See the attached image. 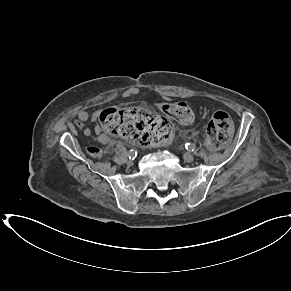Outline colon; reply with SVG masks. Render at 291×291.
<instances>
[{
  "instance_id": "5ec220e1",
  "label": "colon",
  "mask_w": 291,
  "mask_h": 291,
  "mask_svg": "<svg viewBox=\"0 0 291 291\" xmlns=\"http://www.w3.org/2000/svg\"><path fill=\"white\" fill-rule=\"evenodd\" d=\"M166 117L141 108L118 109L110 107L99 115L100 127L106 132L121 136L139 145L150 146L166 140L172 133L168 118L190 124L195 116L192 109L184 102H172L163 106ZM234 125L230 115L216 111L206 130V142L214 150L223 148L230 140ZM94 157L101 154L97 147L87 149Z\"/></svg>"
}]
</instances>
